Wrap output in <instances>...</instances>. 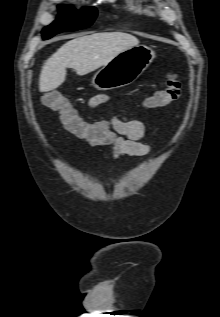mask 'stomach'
<instances>
[{
	"label": "stomach",
	"instance_id": "0dacf381",
	"mask_svg": "<svg viewBox=\"0 0 220 317\" xmlns=\"http://www.w3.org/2000/svg\"><path fill=\"white\" fill-rule=\"evenodd\" d=\"M155 55L144 45L131 47L98 70L92 85L99 90H110L133 83L148 68Z\"/></svg>",
	"mask_w": 220,
	"mask_h": 317
}]
</instances>
